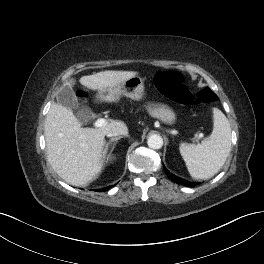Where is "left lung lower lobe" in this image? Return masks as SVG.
Masks as SVG:
<instances>
[{"label": "left lung lower lobe", "instance_id": "left-lung-lower-lobe-1", "mask_svg": "<svg viewBox=\"0 0 264 264\" xmlns=\"http://www.w3.org/2000/svg\"><path fill=\"white\" fill-rule=\"evenodd\" d=\"M164 170H165V173L167 174V176L174 182L178 183V184H182V185H185V186H195L196 183H192V182H189V181H186L182 178H179V177H176L175 175L169 173V171L164 167Z\"/></svg>", "mask_w": 264, "mask_h": 264}]
</instances>
